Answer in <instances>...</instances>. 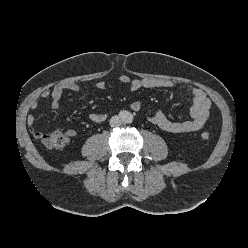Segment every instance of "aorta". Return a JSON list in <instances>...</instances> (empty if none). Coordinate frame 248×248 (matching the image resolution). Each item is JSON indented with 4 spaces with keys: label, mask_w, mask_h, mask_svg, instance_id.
Instances as JSON below:
<instances>
[{
    "label": "aorta",
    "mask_w": 248,
    "mask_h": 248,
    "mask_svg": "<svg viewBox=\"0 0 248 248\" xmlns=\"http://www.w3.org/2000/svg\"><path fill=\"white\" fill-rule=\"evenodd\" d=\"M133 119L132 114L130 112H126L123 116V121L126 123L131 122Z\"/></svg>",
    "instance_id": "obj_1"
}]
</instances>
